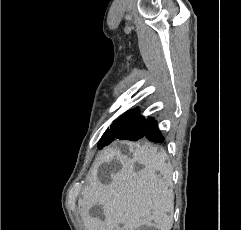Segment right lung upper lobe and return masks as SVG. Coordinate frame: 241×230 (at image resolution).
Here are the masks:
<instances>
[{
    "mask_svg": "<svg viewBox=\"0 0 241 230\" xmlns=\"http://www.w3.org/2000/svg\"><path fill=\"white\" fill-rule=\"evenodd\" d=\"M130 111H131V110L127 111L126 113H128V112H130ZM132 111H133V110H132ZM136 111H137V112H139V110H138V109H136ZM126 113H124V114H126Z\"/></svg>",
    "mask_w": 241,
    "mask_h": 230,
    "instance_id": "right-lung-upper-lobe-1",
    "label": "right lung upper lobe"
}]
</instances>
